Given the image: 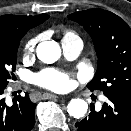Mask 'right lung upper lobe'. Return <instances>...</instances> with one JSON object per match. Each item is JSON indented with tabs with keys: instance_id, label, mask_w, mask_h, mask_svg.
Returning <instances> with one entry per match:
<instances>
[{
	"instance_id": "right-lung-upper-lobe-1",
	"label": "right lung upper lobe",
	"mask_w": 131,
	"mask_h": 131,
	"mask_svg": "<svg viewBox=\"0 0 131 131\" xmlns=\"http://www.w3.org/2000/svg\"><path fill=\"white\" fill-rule=\"evenodd\" d=\"M49 18L48 15L21 16L4 15L0 17V36L17 37L25 35L30 28H33Z\"/></svg>"
}]
</instances>
